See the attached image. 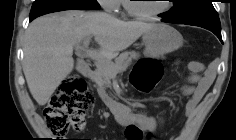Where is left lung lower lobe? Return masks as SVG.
<instances>
[{
    "instance_id": "1",
    "label": "left lung lower lobe",
    "mask_w": 236,
    "mask_h": 140,
    "mask_svg": "<svg viewBox=\"0 0 236 140\" xmlns=\"http://www.w3.org/2000/svg\"><path fill=\"white\" fill-rule=\"evenodd\" d=\"M162 21L163 22H168V19L166 17H163ZM187 25H190V24H187ZM195 26H197V25H195ZM199 27H202V26H199ZM203 28L208 29L211 32H213L219 38V40L222 42L221 30H215V29H211V28H207V27H203Z\"/></svg>"
}]
</instances>
